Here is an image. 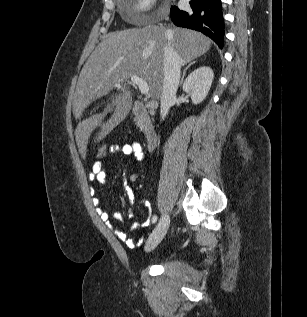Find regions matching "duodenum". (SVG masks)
<instances>
[{
	"mask_svg": "<svg viewBox=\"0 0 307 317\" xmlns=\"http://www.w3.org/2000/svg\"><path fill=\"white\" fill-rule=\"evenodd\" d=\"M132 112L140 122L141 131L147 147L149 149L153 148L157 140V134L148 108L143 103L135 101L132 105Z\"/></svg>",
	"mask_w": 307,
	"mask_h": 317,
	"instance_id": "1",
	"label": "duodenum"
}]
</instances>
